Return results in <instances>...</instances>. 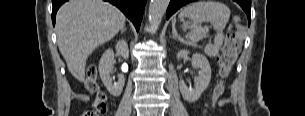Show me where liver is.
Instances as JSON below:
<instances>
[{"label": "liver", "mask_w": 305, "mask_h": 116, "mask_svg": "<svg viewBox=\"0 0 305 116\" xmlns=\"http://www.w3.org/2000/svg\"><path fill=\"white\" fill-rule=\"evenodd\" d=\"M124 14L103 0H69L56 15L57 43L69 72L85 79L86 60L125 26Z\"/></svg>", "instance_id": "obj_1"}]
</instances>
